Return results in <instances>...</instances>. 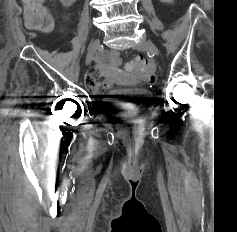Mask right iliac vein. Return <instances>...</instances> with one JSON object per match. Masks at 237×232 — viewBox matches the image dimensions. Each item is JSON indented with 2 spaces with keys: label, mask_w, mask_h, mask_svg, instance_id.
Returning a JSON list of instances; mask_svg holds the SVG:
<instances>
[{
  "label": "right iliac vein",
  "mask_w": 237,
  "mask_h": 232,
  "mask_svg": "<svg viewBox=\"0 0 237 232\" xmlns=\"http://www.w3.org/2000/svg\"><path fill=\"white\" fill-rule=\"evenodd\" d=\"M100 46V40L99 39H95L89 46L88 52H87V56H86V65H89L91 63V61L94 58V55L97 52V49Z\"/></svg>",
  "instance_id": "63e3f726"
}]
</instances>
